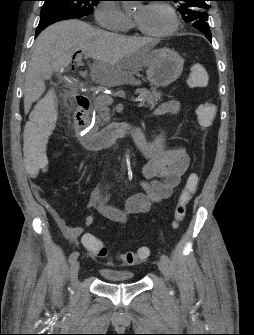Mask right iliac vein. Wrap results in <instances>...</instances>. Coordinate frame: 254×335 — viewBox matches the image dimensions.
Masks as SVG:
<instances>
[{"label":"right iliac vein","instance_id":"obj_1","mask_svg":"<svg viewBox=\"0 0 254 335\" xmlns=\"http://www.w3.org/2000/svg\"><path fill=\"white\" fill-rule=\"evenodd\" d=\"M79 269H80V263L79 261H75L72 264V268H71V282H72L73 287H76L77 285V275H78Z\"/></svg>","mask_w":254,"mask_h":335}]
</instances>
